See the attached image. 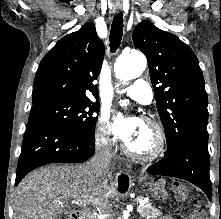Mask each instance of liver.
<instances>
[{
    "mask_svg": "<svg viewBox=\"0 0 221 219\" xmlns=\"http://www.w3.org/2000/svg\"><path fill=\"white\" fill-rule=\"evenodd\" d=\"M114 193L106 176L98 177L90 162L76 166L51 165L29 173L14 195V219H58L69 201L85 200L105 208Z\"/></svg>",
    "mask_w": 221,
    "mask_h": 219,
    "instance_id": "liver-1",
    "label": "liver"
}]
</instances>
